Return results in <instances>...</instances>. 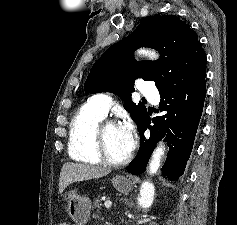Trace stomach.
Returning <instances> with one entry per match:
<instances>
[{"label": "stomach", "instance_id": "1", "mask_svg": "<svg viewBox=\"0 0 237 225\" xmlns=\"http://www.w3.org/2000/svg\"><path fill=\"white\" fill-rule=\"evenodd\" d=\"M113 186L121 193L132 190L134 182L131 178L117 175L112 179ZM67 202L68 215L80 225L85 224L90 218L91 201L86 196L79 195L75 190L64 195Z\"/></svg>", "mask_w": 237, "mask_h": 225}]
</instances>
